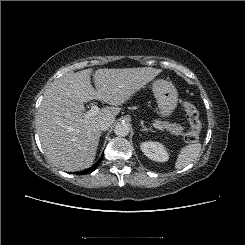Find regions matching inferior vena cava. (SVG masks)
I'll use <instances>...</instances> for the list:
<instances>
[{
	"mask_svg": "<svg viewBox=\"0 0 245 245\" xmlns=\"http://www.w3.org/2000/svg\"><path fill=\"white\" fill-rule=\"evenodd\" d=\"M114 121H115L114 117H104L99 121L98 127L100 130L106 131L110 128V126L113 124Z\"/></svg>",
	"mask_w": 245,
	"mask_h": 245,
	"instance_id": "obj_1",
	"label": "inferior vena cava"
}]
</instances>
